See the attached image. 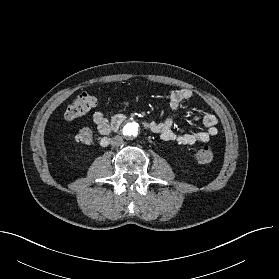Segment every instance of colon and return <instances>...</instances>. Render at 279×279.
<instances>
[{
    "label": "colon",
    "instance_id": "obj_1",
    "mask_svg": "<svg viewBox=\"0 0 279 279\" xmlns=\"http://www.w3.org/2000/svg\"><path fill=\"white\" fill-rule=\"evenodd\" d=\"M97 103L96 97L89 93H82L70 102L65 110V118L73 120L87 114ZM75 139L78 143L88 145L93 140V133L90 128L84 127L80 129ZM214 154L208 145L202 146L196 153V159L200 163H209L213 160Z\"/></svg>",
    "mask_w": 279,
    "mask_h": 279
}]
</instances>
